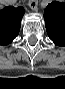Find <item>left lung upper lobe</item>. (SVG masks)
<instances>
[{
	"label": "left lung upper lobe",
	"instance_id": "obj_1",
	"mask_svg": "<svg viewBox=\"0 0 65 89\" xmlns=\"http://www.w3.org/2000/svg\"><path fill=\"white\" fill-rule=\"evenodd\" d=\"M46 31L58 46H65V3L53 1L44 11Z\"/></svg>",
	"mask_w": 65,
	"mask_h": 89
}]
</instances>
